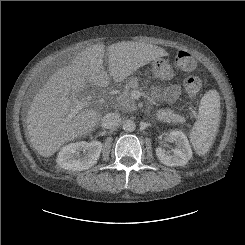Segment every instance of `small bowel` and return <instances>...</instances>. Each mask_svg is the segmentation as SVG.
<instances>
[{"mask_svg":"<svg viewBox=\"0 0 245 245\" xmlns=\"http://www.w3.org/2000/svg\"><path fill=\"white\" fill-rule=\"evenodd\" d=\"M157 91H160V88H156ZM180 93V88L177 85L168 87L166 89L163 90V99L166 102H172L173 100H175L178 95Z\"/></svg>","mask_w":245,"mask_h":245,"instance_id":"small-bowel-1","label":"small bowel"}]
</instances>
